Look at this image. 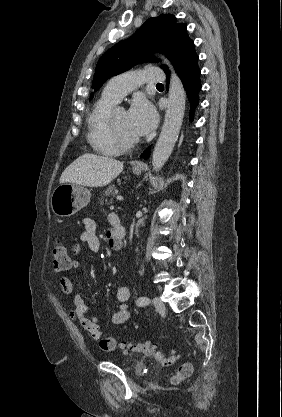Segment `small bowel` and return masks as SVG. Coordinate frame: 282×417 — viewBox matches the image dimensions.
I'll list each match as a JSON object with an SVG mask.
<instances>
[{
	"mask_svg": "<svg viewBox=\"0 0 282 417\" xmlns=\"http://www.w3.org/2000/svg\"><path fill=\"white\" fill-rule=\"evenodd\" d=\"M104 213L106 214L111 226L110 230L107 232V240L110 247L113 248V244L117 245L118 243L114 236L117 227L121 225L120 219L114 212L104 211ZM82 225L83 230L79 234V243L73 245L72 247L73 254L76 256L81 255L83 245H86L91 252L99 254L101 252V240L96 234L95 221L90 217H83ZM81 266L82 264L78 259L71 262V268L74 270H79ZM59 284L63 295L68 296L73 293V284L70 278L61 277ZM115 297L119 307L111 313L110 322L113 325H122L125 324L130 317L127 307V302L130 297V289L127 286L118 287L116 289ZM73 301L74 307L68 312L70 319L79 323L86 331H88L93 340L96 341L106 339L107 336L103 330L102 323L90 312L84 297L81 294L76 293L74 294Z\"/></svg>",
	"mask_w": 282,
	"mask_h": 417,
	"instance_id": "c3829d8e",
	"label": "small bowel"
}]
</instances>
